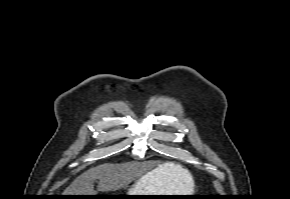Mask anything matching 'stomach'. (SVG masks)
Returning a JSON list of instances; mask_svg holds the SVG:
<instances>
[{
  "instance_id": "stomach-1",
  "label": "stomach",
  "mask_w": 290,
  "mask_h": 199,
  "mask_svg": "<svg viewBox=\"0 0 290 199\" xmlns=\"http://www.w3.org/2000/svg\"><path fill=\"white\" fill-rule=\"evenodd\" d=\"M169 192L165 188V181L157 176V169H155L136 181L126 195H173ZM126 198L145 199L146 196H128Z\"/></svg>"
}]
</instances>
